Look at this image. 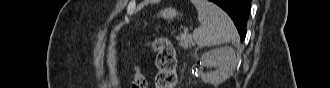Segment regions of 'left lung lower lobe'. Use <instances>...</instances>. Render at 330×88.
I'll use <instances>...</instances> for the list:
<instances>
[{
  "label": "left lung lower lobe",
  "mask_w": 330,
  "mask_h": 88,
  "mask_svg": "<svg viewBox=\"0 0 330 88\" xmlns=\"http://www.w3.org/2000/svg\"><path fill=\"white\" fill-rule=\"evenodd\" d=\"M220 6L233 20L241 41L246 36V23L250 11L251 0H210Z\"/></svg>",
  "instance_id": "0a47b994"
}]
</instances>
